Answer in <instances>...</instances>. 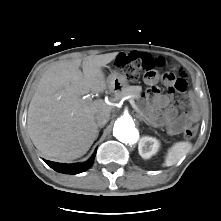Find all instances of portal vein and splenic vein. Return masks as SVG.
<instances>
[{
  "label": "portal vein and splenic vein",
  "instance_id": "obj_1",
  "mask_svg": "<svg viewBox=\"0 0 221 221\" xmlns=\"http://www.w3.org/2000/svg\"><path fill=\"white\" fill-rule=\"evenodd\" d=\"M126 98L128 99V101H129V103L131 104L132 108H133L135 111L139 112V110H138V108H137V106H136L135 101L133 100V98H131V97H126Z\"/></svg>",
  "mask_w": 221,
  "mask_h": 221
}]
</instances>
